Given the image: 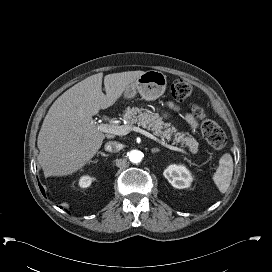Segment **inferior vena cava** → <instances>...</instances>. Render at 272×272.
I'll return each mask as SVG.
<instances>
[{
  "instance_id": "1",
  "label": "inferior vena cava",
  "mask_w": 272,
  "mask_h": 272,
  "mask_svg": "<svg viewBox=\"0 0 272 272\" xmlns=\"http://www.w3.org/2000/svg\"><path fill=\"white\" fill-rule=\"evenodd\" d=\"M122 149V144L116 141H109L105 145V150L109 152H119Z\"/></svg>"
}]
</instances>
